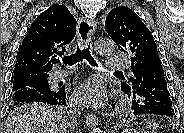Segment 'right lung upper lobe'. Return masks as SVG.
I'll use <instances>...</instances> for the list:
<instances>
[{
	"instance_id": "cb5924a9",
	"label": "right lung upper lobe",
	"mask_w": 184,
	"mask_h": 133,
	"mask_svg": "<svg viewBox=\"0 0 184 133\" xmlns=\"http://www.w3.org/2000/svg\"><path fill=\"white\" fill-rule=\"evenodd\" d=\"M75 34L76 20L68 8L60 4L49 7L31 24L16 56L14 75H48Z\"/></svg>"
}]
</instances>
